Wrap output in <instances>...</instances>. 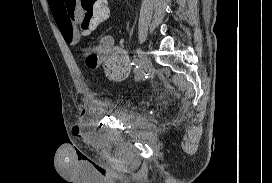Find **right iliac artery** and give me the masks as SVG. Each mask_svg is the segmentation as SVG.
Wrapping results in <instances>:
<instances>
[{
    "mask_svg": "<svg viewBox=\"0 0 272 183\" xmlns=\"http://www.w3.org/2000/svg\"><path fill=\"white\" fill-rule=\"evenodd\" d=\"M139 59L137 58H134L133 61H132V65L135 67V68H139ZM137 76L140 74V73H135Z\"/></svg>",
    "mask_w": 272,
    "mask_h": 183,
    "instance_id": "obj_1",
    "label": "right iliac artery"
}]
</instances>
